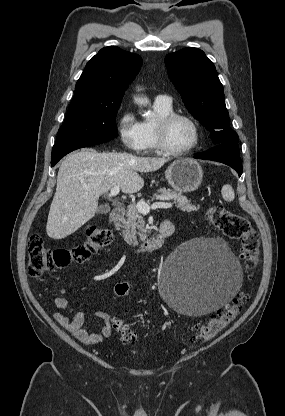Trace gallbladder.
<instances>
[{
  "instance_id": "gallbladder-1",
  "label": "gallbladder",
  "mask_w": 285,
  "mask_h": 416,
  "mask_svg": "<svg viewBox=\"0 0 285 416\" xmlns=\"http://www.w3.org/2000/svg\"><path fill=\"white\" fill-rule=\"evenodd\" d=\"M110 212L109 204H104V206H98L96 214H108Z\"/></svg>"
}]
</instances>
